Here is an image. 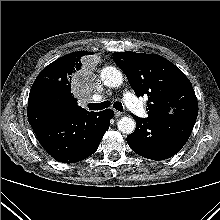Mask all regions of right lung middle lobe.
I'll list each match as a JSON object with an SVG mask.
<instances>
[{
    "label": "right lung middle lobe",
    "mask_w": 220,
    "mask_h": 220,
    "mask_svg": "<svg viewBox=\"0 0 220 220\" xmlns=\"http://www.w3.org/2000/svg\"><path fill=\"white\" fill-rule=\"evenodd\" d=\"M44 106H50V107H53V108H57L56 103L52 100H45Z\"/></svg>",
    "instance_id": "1"
}]
</instances>
